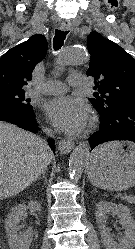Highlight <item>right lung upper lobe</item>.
Masks as SVG:
<instances>
[{"label": "right lung upper lobe", "instance_id": "right-lung-upper-lobe-1", "mask_svg": "<svg viewBox=\"0 0 135 249\" xmlns=\"http://www.w3.org/2000/svg\"><path fill=\"white\" fill-rule=\"evenodd\" d=\"M47 51L44 35L36 34L0 58V91H24L35 65Z\"/></svg>", "mask_w": 135, "mask_h": 249}]
</instances>
